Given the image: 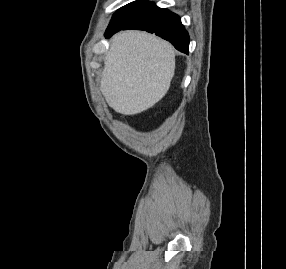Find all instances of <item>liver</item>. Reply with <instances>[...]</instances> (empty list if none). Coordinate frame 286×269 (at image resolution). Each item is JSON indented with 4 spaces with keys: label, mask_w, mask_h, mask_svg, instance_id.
Wrapping results in <instances>:
<instances>
[{
    "label": "liver",
    "mask_w": 286,
    "mask_h": 269,
    "mask_svg": "<svg viewBox=\"0 0 286 269\" xmlns=\"http://www.w3.org/2000/svg\"><path fill=\"white\" fill-rule=\"evenodd\" d=\"M175 70L173 47L155 35L123 31L112 38L104 58L100 90L124 115L141 113L167 93Z\"/></svg>",
    "instance_id": "obj_1"
}]
</instances>
